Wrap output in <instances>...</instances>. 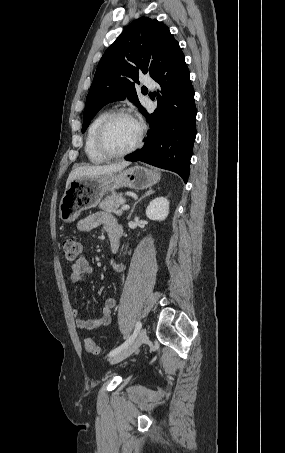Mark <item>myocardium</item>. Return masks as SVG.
<instances>
[{"mask_svg":"<svg viewBox=\"0 0 285 453\" xmlns=\"http://www.w3.org/2000/svg\"><path fill=\"white\" fill-rule=\"evenodd\" d=\"M118 117H129L139 126V134L135 143L126 150L113 151L106 143V133L110 124ZM146 133V126L137 116L127 109H118L106 115L100 123L96 133V146L99 152L107 158H119L129 155L141 147Z\"/></svg>","mask_w":285,"mask_h":453,"instance_id":"obj_1","label":"myocardium"}]
</instances>
